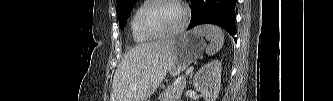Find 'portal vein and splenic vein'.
I'll use <instances>...</instances> for the list:
<instances>
[{
    "label": "portal vein and splenic vein",
    "mask_w": 333,
    "mask_h": 101,
    "mask_svg": "<svg viewBox=\"0 0 333 101\" xmlns=\"http://www.w3.org/2000/svg\"><path fill=\"white\" fill-rule=\"evenodd\" d=\"M191 70H192V69L187 70L186 75H188V74L190 73Z\"/></svg>",
    "instance_id": "1"
}]
</instances>
